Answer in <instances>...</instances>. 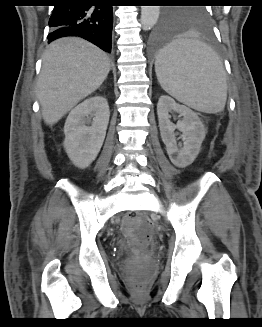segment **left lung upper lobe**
I'll list each match as a JSON object with an SVG mask.
<instances>
[{
    "label": "left lung upper lobe",
    "instance_id": "left-lung-upper-lobe-1",
    "mask_svg": "<svg viewBox=\"0 0 262 327\" xmlns=\"http://www.w3.org/2000/svg\"><path fill=\"white\" fill-rule=\"evenodd\" d=\"M182 3H202V0H179ZM163 22L171 27L196 25L203 28L209 26V15L205 7L191 6L182 9H168L163 15Z\"/></svg>",
    "mask_w": 262,
    "mask_h": 327
}]
</instances>
